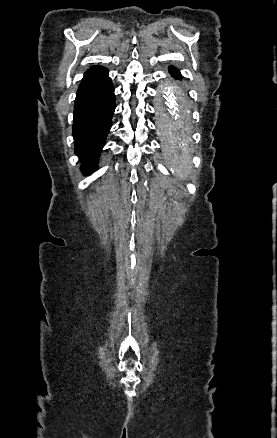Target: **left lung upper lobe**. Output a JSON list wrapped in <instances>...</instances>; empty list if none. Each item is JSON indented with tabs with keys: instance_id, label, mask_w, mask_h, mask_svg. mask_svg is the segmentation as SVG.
Returning a JSON list of instances; mask_svg holds the SVG:
<instances>
[{
	"instance_id": "left-lung-upper-lobe-1",
	"label": "left lung upper lobe",
	"mask_w": 277,
	"mask_h": 438,
	"mask_svg": "<svg viewBox=\"0 0 277 438\" xmlns=\"http://www.w3.org/2000/svg\"><path fill=\"white\" fill-rule=\"evenodd\" d=\"M169 73L176 79H182V75L180 74V71L176 68H174L173 66L169 67Z\"/></svg>"
}]
</instances>
